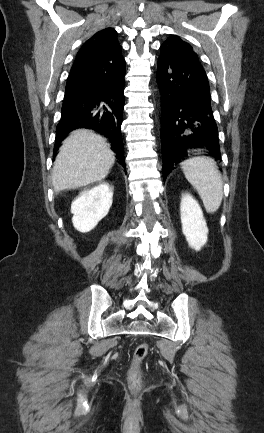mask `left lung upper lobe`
I'll list each match as a JSON object with an SVG mask.
<instances>
[{
    "mask_svg": "<svg viewBox=\"0 0 264 433\" xmlns=\"http://www.w3.org/2000/svg\"><path fill=\"white\" fill-rule=\"evenodd\" d=\"M161 54H169L184 59L192 60L198 64L199 60L193 48L180 37L172 35L160 47Z\"/></svg>",
    "mask_w": 264,
    "mask_h": 433,
    "instance_id": "obj_1",
    "label": "left lung upper lobe"
}]
</instances>
